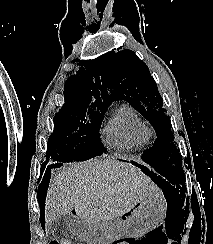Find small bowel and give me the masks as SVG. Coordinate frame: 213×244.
<instances>
[{"label":"small bowel","instance_id":"obj_1","mask_svg":"<svg viewBox=\"0 0 213 244\" xmlns=\"http://www.w3.org/2000/svg\"><path fill=\"white\" fill-rule=\"evenodd\" d=\"M114 244H128V243L124 241H116Z\"/></svg>","mask_w":213,"mask_h":244}]
</instances>
